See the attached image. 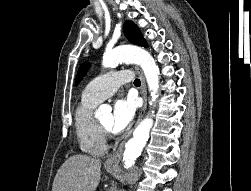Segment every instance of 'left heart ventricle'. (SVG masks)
<instances>
[{
	"label": "left heart ventricle",
	"mask_w": 251,
	"mask_h": 191,
	"mask_svg": "<svg viewBox=\"0 0 251 191\" xmlns=\"http://www.w3.org/2000/svg\"><path fill=\"white\" fill-rule=\"evenodd\" d=\"M110 121H111V117H110L109 114L104 115V116L101 118V120H100V122H101L105 127H107V128L110 127Z\"/></svg>",
	"instance_id": "left-heart-ventricle-1"
}]
</instances>
